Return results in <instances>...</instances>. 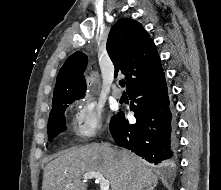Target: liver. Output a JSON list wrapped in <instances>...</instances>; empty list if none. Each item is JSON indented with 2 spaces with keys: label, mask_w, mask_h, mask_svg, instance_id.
Segmentation results:
<instances>
[{
  "label": "liver",
  "mask_w": 221,
  "mask_h": 190,
  "mask_svg": "<svg viewBox=\"0 0 221 190\" xmlns=\"http://www.w3.org/2000/svg\"><path fill=\"white\" fill-rule=\"evenodd\" d=\"M99 172L110 181L111 190H146L158 177L146 162L126 149L87 144L62 152L44 168L42 190H87L82 176Z\"/></svg>",
  "instance_id": "6515ba94"
}]
</instances>
